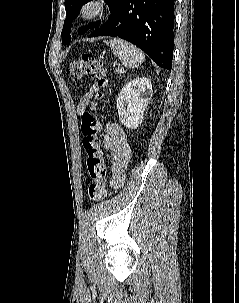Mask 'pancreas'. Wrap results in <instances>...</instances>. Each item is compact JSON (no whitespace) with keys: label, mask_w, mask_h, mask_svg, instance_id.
Listing matches in <instances>:
<instances>
[{"label":"pancreas","mask_w":239,"mask_h":303,"mask_svg":"<svg viewBox=\"0 0 239 303\" xmlns=\"http://www.w3.org/2000/svg\"><path fill=\"white\" fill-rule=\"evenodd\" d=\"M115 71H116L119 75H121V74H123V73L125 72V70H124L122 67L116 68Z\"/></svg>","instance_id":"1"}]
</instances>
